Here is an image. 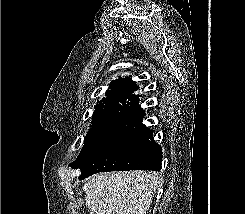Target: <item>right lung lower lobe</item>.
Masks as SVG:
<instances>
[{"label": "right lung lower lobe", "instance_id": "1", "mask_svg": "<svg viewBox=\"0 0 245 214\" xmlns=\"http://www.w3.org/2000/svg\"><path fill=\"white\" fill-rule=\"evenodd\" d=\"M140 112L141 118L132 128L126 129L128 137L117 147L119 166L111 171L161 169L162 148L154 141L152 131L142 124L143 109L140 108Z\"/></svg>", "mask_w": 245, "mask_h": 214}]
</instances>
